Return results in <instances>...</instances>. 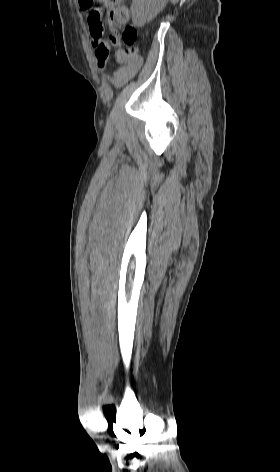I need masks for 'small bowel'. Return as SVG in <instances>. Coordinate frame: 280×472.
I'll return each mask as SVG.
<instances>
[{
	"label": "small bowel",
	"mask_w": 280,
	"mask_h": 472,
	"mask_svg": "<svg viewBox=\"0 0 280 472\" xmlns=\"http://www.w3.org/2000/svg\"><path fill=\"white\" fill-rule=\"evenodd\" d=\"M82 0H79L80 8L84 11L88 9L83 7ZM108 9L107 26L110 31L109 36H105L103 23L89 24V32L92 46L95 49V57L99 68H103L108 60L110 50L114 49V56L118 63L112 78L106 81L114 88H121L131 78H133L142 65V59L139 55L128 56L123 49L120 48L121 36L119 29L124 27L130 19V10L120 0H100Z\"/></svg>",
	"instance_id": "obj_1"
}]
</instances>
